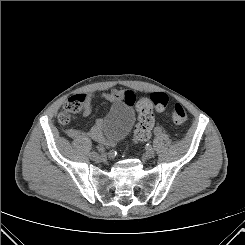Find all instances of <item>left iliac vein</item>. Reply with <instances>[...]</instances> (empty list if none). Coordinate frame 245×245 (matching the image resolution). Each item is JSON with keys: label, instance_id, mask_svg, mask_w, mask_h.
I'll list each match as a JSON object with an SVG mask.
<instances>
[{"label": "left iliac vein", "instance_id": "left-iliac-vein-1", "mask_svg": "<svg viewBox=\"0 0 245 245\" xmlns=\"http://www.w3.org/2000/svg\"><path fill=\"white\" fill-rule=\"evenodd\" d=\"M154 155H155V152H154V150H153L152 148H149V149L146 151V156H147L148 158H153Z\"/></svg>", "mask_w": 245, "mask_h": 245}]
</instances>
